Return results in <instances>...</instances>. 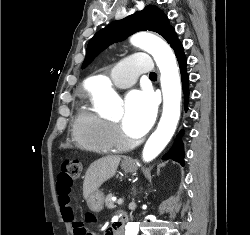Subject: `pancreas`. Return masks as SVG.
Segmentation results:
<instances>
[{
  "instance_id": "pancreas-1",
  "label": "pancreas",
  "mask_w": 250,
  "mask_h": 235,
  "mask_svg": "<svg viewBox=\"0 0 250 235\" xmlns=\"http://www.w3.org/2000/svg\"><path fill=\"white\" fill-rule=\"evenodd\" d=\"M112 196H113V194H108V196L106 197V200H105V204H106V207L108 209L115 208L114 202L112 201Z\"/></svg>"
}]
</instances>
